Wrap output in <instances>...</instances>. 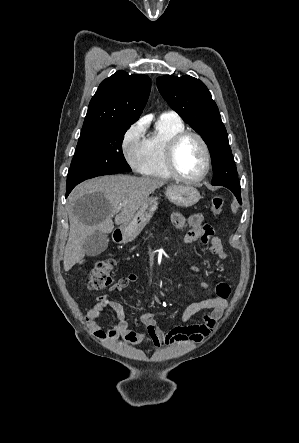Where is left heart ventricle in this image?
<instances>
[{
    "label": "left heart ventricle",
    "instance_id": "left-heart-ventricle-1",
    "mask_svg": "<svg viewBox=\"0 0 299 443\" xmlns=\"http://www.w3.org/2000/svg\"><path fill=\"white\" fill-rule=\"evenodd\" d=\"M176 163L179 171L187 177H195L202 172L204 151L196 138L188 137L179 145Z\"/></svg>",
    "mask_w": 299,
    "mask_h": 443
}]
</instances>
